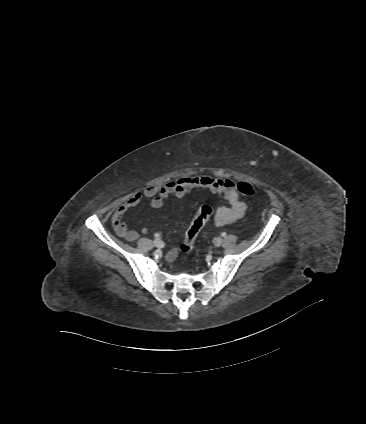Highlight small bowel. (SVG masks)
<instances>
[{"label":"small bowel","mask_w":366,"mask_h":424,"mask_svg":"<svg viewBox=\"0 0 366 424\" xmlns=\"http://www.w3.org/2000/svg\"><path fill=\"white\" fill-rule=\"evenodd\" d=\"M197 188L208 189L229 203V206H219L216 209L214 222L217 226L232 224L241 219L246 211L247 204L240 199L237 183L229 178L213 177L209 175H195L178 178L164 184L151 185L142 192H134L128 195L118 206L112 217V226L115 232L127 241H136L139 233L127 227L123 220L124 214L137 206L143 197L150 199L152 209H160L165 199L174 195L178 198L185 197L189 192ZM142 233H148V228L144 226ZM178 254V249L174 248L167 254V260L173 261Z\"/></svg>","instance_id":"1"}]
</instances>
